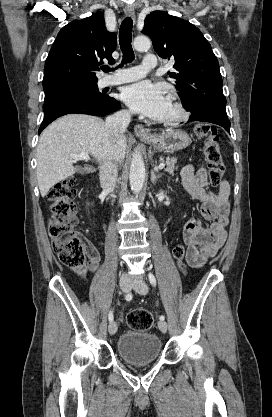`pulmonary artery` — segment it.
I'll list each match as a JSON object with an SVG mask.
<instances>
[{
  "mask_svg": "<svg viewBox=\"0 0 272 417\" xmlns=\"http://www.w3.org/2000/svg\"><path fill=\"white\" fill-rule=\"evenodd\" d=\"M157 65L156 56L147 54L139 66H133L127 69L119 70L114 76L105 80L106 85L122 84L141 79L147 72L153 70Z\"/></svg>",
  "mask_w": 272,
  "mask_h": 417,
  "instance_id": "pulmonary-artery-1",
  "label": "pulmonary artery"
}]
</instances>
